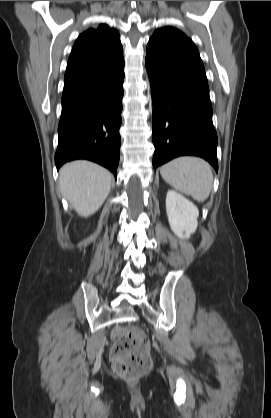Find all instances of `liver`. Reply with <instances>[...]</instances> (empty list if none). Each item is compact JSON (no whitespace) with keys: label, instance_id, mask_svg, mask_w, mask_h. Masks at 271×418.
I'll return each instance as SVG.
<instances>
[{"label":"liver","instance_id":"liver-1","mask_svg":"<svg viewBox=\"0 0 271 418\" xmlns=\"http://www.w3.org/2000/svg\"><path fill=\"white\" fill-rule=\"evenodd\" d=\"M111 180L108 170L85 160L67 163L59 171L62 196L83 217L101 207L110 192Z\"/></svg>","mask_w":271,"mask_h":418}]
</instances>
